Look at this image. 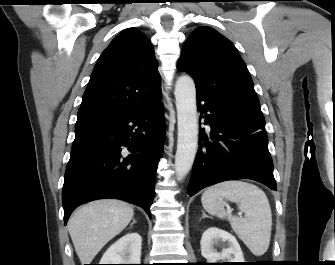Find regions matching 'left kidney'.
<instances>
[{
  "mask_svg": "<svg viewBox=\"0 0 335 265\" xmlns=\"http://www.w3.org/2000/svg\"><path fill=\"white\" fill-rule=\"evenodd\" d=\"M226 244L221 252H217L215 245ZM201 254L208 263H217L219 260H228V262H244V257L237 239L229 232L211 227L202 235Z\"/></svg>",
  "mask_w": 335,
  "mask_h": 265,
  "instance_id": "5707ae66",
  "label": "left kidney"
}]
</instances>
